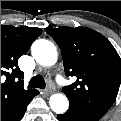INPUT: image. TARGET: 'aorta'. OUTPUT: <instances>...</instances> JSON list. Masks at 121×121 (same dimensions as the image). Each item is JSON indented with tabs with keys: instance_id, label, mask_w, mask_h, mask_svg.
Instances as JSON below:
<instances>
[{
	"instance_id": "obj_1",
	"label": "aorta",
	"mask_w": 121,
	"mask_h": 121,
	"mask_svg": "<svg viewBox=\"0 0 121 121\" xmlns=\"http://www.w3.org/2000/svg\"><path fill=\"white\" fill-rule=\"evenodd\" d=\"M31 53L37 63L48 67L54 65L58 58L55 45L45 39L36 40L31 47ZM49 103L51 109L57 114L66 112L69 107L67 97L60 93L53 94Z\"/></svg>"
}]
</instances>
